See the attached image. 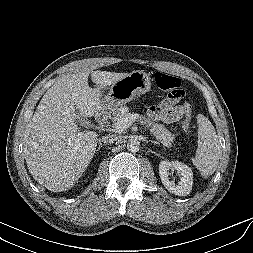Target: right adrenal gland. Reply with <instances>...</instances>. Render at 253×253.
<instances>
[{
    "instance_id": "1",
    "label": "right adrenal gland",
    "mask_w": 253,
    "mask_h": 253,
    "mask_svg": "<svg viewBox=\"0 0 253 253\" xmlns=\"http://www.w3.org/2000/svg\"><path fill=\"white\" fill-rule=\"evenodd\" d=\"M101 147H103V145L99 146V147L97 148V151L100 150Z\"/></svg>"
}]
</instances>
